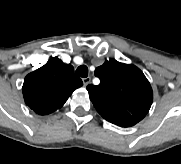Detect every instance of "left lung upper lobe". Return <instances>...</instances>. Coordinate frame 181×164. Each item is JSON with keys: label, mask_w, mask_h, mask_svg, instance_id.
<instances>
[{"label": "left lung upper lobe", "mask_w": 181, "mask_h": 164, "mask_svg": "<svg viewBox=\"0 0 181 164\" xmlns=\"http://www.w3.org/2000/svg\"><path fill=\"white\" fill-rule=\"evenodd\" d=\"M94 74L100 84L88 85L87 90L104 119L121 127H130L145 117L153 101V91L139 68L110 59L97 67Z\"/></svg>", "instance_id": "left-lung-upper-lobe-1"}]
</instances>
